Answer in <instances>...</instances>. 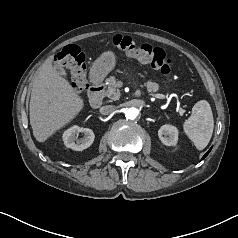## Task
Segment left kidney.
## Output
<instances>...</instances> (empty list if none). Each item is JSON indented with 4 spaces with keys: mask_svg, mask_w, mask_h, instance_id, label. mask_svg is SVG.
I'll return each mask as SVG.
<instances>
[{
    "mask_svg": "<svg viewBox=\"0 0 238 238\" xmlns=\"http://www.w3.org/2000/svg\"><path fill=\"white\" fill-rule=\"evenodd\" d=\"M158 136L161 142L167 146H175L178 142V129L169 124L160 127Z\"/></svg>",
    "mask_w": 238,
    "mask_h": 238,
    "instance_id": "1",
    "label": "left kidney"
}]
</instances>
